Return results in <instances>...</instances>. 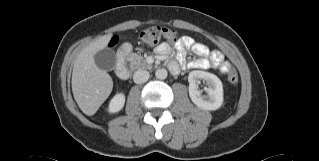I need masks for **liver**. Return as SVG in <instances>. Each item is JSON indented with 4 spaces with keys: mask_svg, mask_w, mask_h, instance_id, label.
Instances as JSON below:
<instances>
[{
    "mask_svg": "<svg viewBox=\"0 0 319 161\" xmlns=\"http://www.w3.org/2000/svg\"><path fill=\"white\" fill-rule=\"evenodd\" d=\"M112 34L99 37L76 57L72 72V92L81 111L91 116L96 113L113 89L111 76L98 68L94 55L105 49Z\"/></svg>",
    "mask_w": 319,
    "mask_h": 161,
    "instance_id": "liver-1",
    "label": "liver"
}]
</instances>
